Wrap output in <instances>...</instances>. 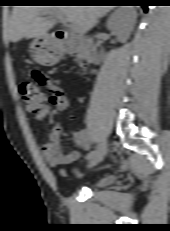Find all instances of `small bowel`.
Here are the masks:
<instances>
[{
  "label": "small bowel",
  "mask_w": 170,
  "mask_h": 231,
  "mask_svg": "<svg viewBox=\"0 0 170 231\" xmlns=\"http://www.w3.org/2000/svg\"><path fill=\"white\" fill-rule=\"evenodd\" d=\"M32 78L39 86H42L47 90L49 100V104L43 103L41 109L36 113L35 121L39 122L48 118L53 125L47 140L41 144V155L46 164L52 168H58L64 164H72L81 157L79 149L86 151L91 149V138L86 130H79L74 134V141L78 149L69 153L63 151L61 143L62 127L58 120V115L68 107V101L64 96L61 87L53 83L45 71L40 69L33 70ZM64 173V170H61V174L63 175Z\"/></svg>",
  "instance_id": "small-bowel-1"
}]
</instances>
